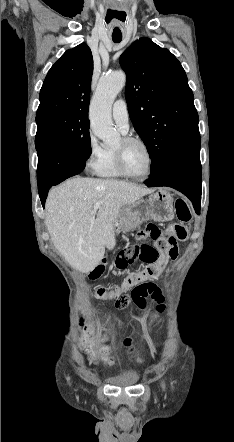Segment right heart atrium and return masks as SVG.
I'll return each mask as SVG.
<instances>
[{
	"label": "right heart atrium",
	"instance_id": "d8ad5b80",
	"mask_svg": "<svg viewBox=\"0 0 234 442\" xmlns=\"http://www.w3.org/2000/svg\"><path fill=\"white\" fill-rule=\"evenodd\" d=\"M105 155V148L99 142L95 134L89 130L87 135L86 168L97 173Z\"/></svg>",
	"mask_w": 234,
	"mask_h": 442
}]
</instances>
